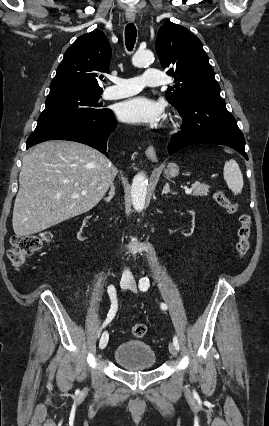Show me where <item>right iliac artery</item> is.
Masks as SVG:
<instances>
[{
  "instance_id": "82829eb1",
  "label": "right iliac artery",
  "mask_w": 269,
  "mask_h": 426,
  "mask_svg": "<svg viewBox=\"0 0 269 426\" xmlns=\"http://www.w3.org/2000/svg\"><path fill=\"white\" fill-rule=\"evenodd\" d=\"M108 294L111 300V309L109 310V313L107 315V319L105 320V322L102 325V328H104L115 316L116 311L118 309V303H117V295H116V289L113 285L108 286ZM101 328V330H102ZM100 335V331L98 334V337Z\"/></svg>"
}]
</instances>
